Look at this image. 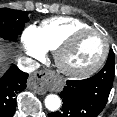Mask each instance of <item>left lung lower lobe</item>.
<instances>
[{
    "mask_svg": "<svg viewBox=\"0 0 117 117\" xmlns=\"http://www.w3.org/2000/svg\"><path fill=\"white\" fill-rule=\"evenodd\" d=\"M110 70L84 80H68L60 93L63 105L49 117H97L104 109L113 84Z\"/></svg>",
    "mask_w": 117,
    "mask_h": 117,
    "instance_id": "0a47b994",
    "label": "left lung lower lobe"
}]
</instances>
